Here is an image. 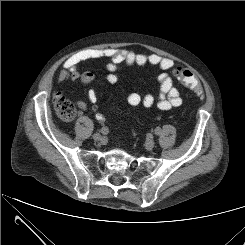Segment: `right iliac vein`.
Listing matches in <instances>:
<instances>
[{
  "mask_svg": "<svg viewBox=\"0 0 245 245\" xmlns=\"http://www.w3.org/2000/svg\"><path fill=\"white\" fill-rule=\"evenodd\" d=\"M93 139H94L95 141H103V140H104V137H103L102 135L98 134V133H95V134L93 135Z\"/></svg>",
  "mask_w": 245,
  "mask_h": 245,
  "instance_id": "1",
  "label": "right iliac vein"
}]
</instances>
